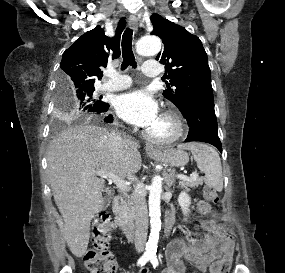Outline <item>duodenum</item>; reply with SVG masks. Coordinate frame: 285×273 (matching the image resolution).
<instances>
[{"label":"duodenum","mask_w":285,"mask_h":273,"mask_svg":"<svg viewBox=\"0 0 285 273\" xmlns=\"http://www.w3.org/2000/svg\"><path fill=\"white\" fill-rule=\"evenodd\" d=\"M112 210L115 215V223L126 236L127 239L132 240L134 237V224L126 214V206L122 197L115 198ZM175 221V213L169 210L165 218V235L168 236L173 228Z\"/></svg>","instance_id":"duodenum-1"}]
</instances>
